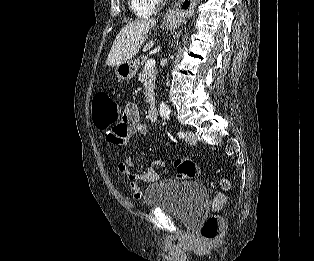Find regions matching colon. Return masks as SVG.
Masks as SVG:
<instances>
[{
    "mask_svg": "<svg viewBox=\"0 0 314 261\" xmlns=\"http://www.w3.org/2000/svg\"><path fill=\"white\" fill-rule=\"evenodd\" d=\"M93 122L99 129H107L120 123L121 111L119 105L106 92H98L92 100ZM126 138V136H125ZM109 141V140H108ZM174 165L178 176L184 179H194L199 174L197 163L191 158L176 159ZM227 197L219 193L214 201L213 208L218 211L226 203ZM222 230V219L218 214L209 216L201 227V236L207 241H214Z\"/></svg>",
    "mask_w": 314,
    "mask_h": 261,
    "instance_id": "colon-1",
    "label": "colon"
}]
</instances>
